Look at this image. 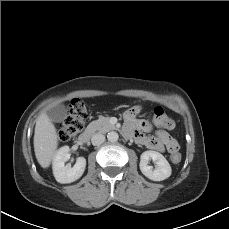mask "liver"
<instances>
[{"mask_svg":"<svg viewBox=\"0 0 229 229\" xmlns=\"http://www.w3.org/2000/svg\"><path fill=\"white\" fill-rule=\"evenodd\" d=\"M58 147V134L53 122L46 113L36 120L34 132L35 156L42 168H48L54 159Z\"/></svg>","mask_w":229,"mask_h":229,"instance_id":"liver-1","label":"liver"}]
</instances>
